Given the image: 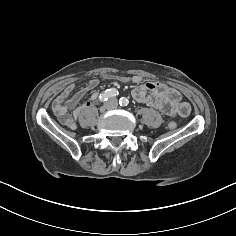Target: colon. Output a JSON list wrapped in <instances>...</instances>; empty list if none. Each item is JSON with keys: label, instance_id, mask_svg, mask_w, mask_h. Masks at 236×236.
Wrapping results in <instances>:
<instances>
[{"label": "colon", "instance_id": "obj_1", "mask_svg": "<svg viewBox=\"0 0 236 236\" xmlns=\"http://www.w3.org/2000/svg\"><path fill=\"white\" fill-rule=\"evenodd\" d=\"M169 126H170V128H174V127H175V123H174V122H171V123L169 124Z\"/></svg>", "mask_w": 236, "mask_h": 236}]
</instances>
